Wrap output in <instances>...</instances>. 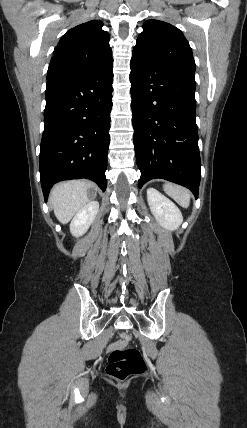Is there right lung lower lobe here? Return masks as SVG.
Returning a JSON list of instances; mask_svg holds the SVG:
<instances>
[{"label": "right lung lower lobe", "instance_id": "right-lung-lower-lobe-1", "mask_svg": "<svg viewBox=\"0 0 247 428\" xmlns=\"http://www.w3.org/2000/svg\"><path fill=\"white\" fill-rule=\"evenodd\" d=\"M113 59L47 83L39 171L45 201L58 181L87 178L106 190Z\"/></svg>", "mask_w": 247, "mask_h": 428}]
</instances>
